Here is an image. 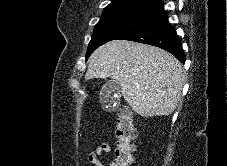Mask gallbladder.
<instances>
[{
	"mask_svg": "<svg viewBox=\"0 0 227 166\" xmlns=\"http://www.w3.org/2000/svg\"><path fill=\"white\" fill-rule=\"evenodd\" d=\"M121 97V86L117 80L111 79L107 81L100 91V102L103 108L114 110Z\"/></svg>",
	"mask_w": 227,
	"mask_h": 166,
	"instance_id": "gallbladder-1",
	"label": "gallbladder"
}]
</instances>
